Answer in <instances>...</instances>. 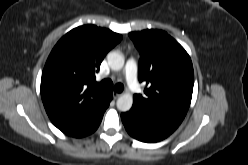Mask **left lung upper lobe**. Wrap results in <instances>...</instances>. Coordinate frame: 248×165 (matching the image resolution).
Returning <instances> with one entry per match:
<instances>
[{
  "label": "left lung upper lobe",
  "mask_w": 248,
  "mask_h": 165,
  "mask_svg": "<svg viewBox=\"0 0 248 165\" xmlns=\"http://www.w3.org/2000/svg\"><path fill=\"white\" fill-rule=\"evenodd\" d=\"M140 51L139 81L145 96L135 94L133 106L180 124L191 103L194 72L185 49L162 30L129 33Z\"/></svg>",
  "instance_id": "left-lung-upper-lobe-1"
}]
</instances>
